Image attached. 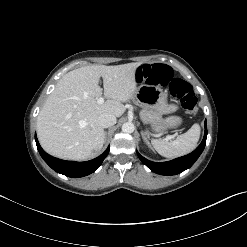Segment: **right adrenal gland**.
Masks as SVG:
<instances>
[{"instance_id":"2a0ac1e0","label":"right adrenal gland","mask_w":247,"mask_h":247,"mask_svg":"<svg viewBox=\"0 0 247 247\" xmlns=\"http://www.w3.org/2000/svg\"><path fill=\"white\" fill-rule=\"evenodd\" d=\"M106 135H107V131H105V133H104V137L106 138Z\"/></svg>"}]
</instances>
